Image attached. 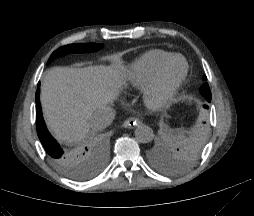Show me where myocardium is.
Here are the masks:
<instances>
[{
    "label": "myocardium",
    "instance_id": "1",
    "mask_svg": "<svg viewBox=\"0 0 254 216\" xmlns=\"http://www.w3.org/2000/svg\"><path fill=\"white\" fill-rule=\"evenodd\" d=\"M175 60L183 62V70L180 76L169 86L162 84L163 75L167 67ZM189 70L186 59L181 55H172L159 65L151 82L142 91V101L154 110H162L170 105L179 88L185 81Z\"/></svg>",
    "mask_w": 254,
    "mask_h": 216
}]
</instances>
